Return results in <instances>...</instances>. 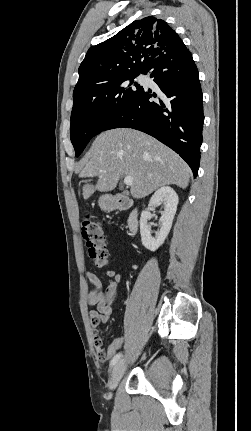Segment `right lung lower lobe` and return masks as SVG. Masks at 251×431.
Instances as JSON below:
<instances>
[{"label":"right lung lower lobe","instance_id":"obj_1","mask_svg":"<svg viewBox=\"0 0 251 431\" xmlns=\"http://www.w3.org/2000/svg\"><path fill=\"white\" fill-rule=\"evenodd\" d=\"M148 71L160 92L142 88L105 130L127 127L155 137L178 153L196 177L204 115L198 70L192 55L185 45L167 49L144 73ZM152 97L157 99L150 101Z\"/></svg>","mask_w":251,"mask_h":431}]
</instances>
